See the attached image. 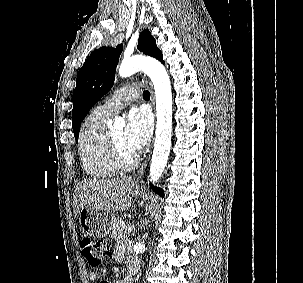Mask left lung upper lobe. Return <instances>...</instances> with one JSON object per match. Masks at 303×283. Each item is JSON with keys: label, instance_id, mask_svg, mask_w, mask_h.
<instances>
[{"label": "left lung upper lobe", "instance_id": "5c2ea615", "mask_svg": "<svg viewBox=\"0 0 303 283\" xmlns=\"http://www.w3.org/2000/svg\"><path fill=\"white\" fill-rule=\"evenodd\" d=\"M138 48L162 63L163 56L157 48L154 37L149 30L140 33ZM123 45L116 48L101 47L95 50L79 70L76 88L73 92L72 128L77 141L81 122L95 105L113 86L115 70Z\"/></svg>", "mask_w": 303, "mask_h": 283}]
</instances>
